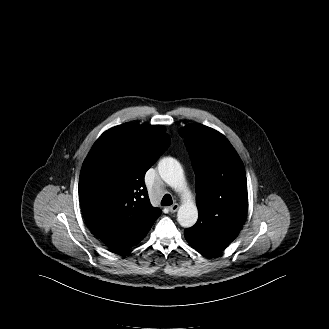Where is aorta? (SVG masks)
Here are the masks:
<instances>
[{
	"label": "aorta",
	"instance_id": "762f6f07",
	"mask_svg": "<svg viewBox=\"0 0 329 329\" xmlns=\"http://www.w3.org/2000/svg\"><path fill=\"white\" fill-rule=\"evenodd\" d=\"M158 172L165 183L178 192L188 195L185 176L180 163L171 157L163 158L158 163ZM198 219L196 204L189 198H185L177 212V221L184 227H192Z\"/></svg>",
	"mask_w": 329,
	"mask_h": 329
}]
</instances>
